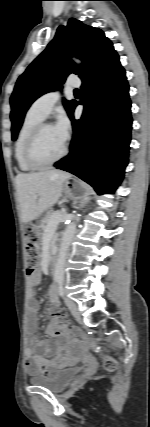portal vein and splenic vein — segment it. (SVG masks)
<instances>
[{"label":"portal vein and splenic vein","mask_w":150,"mask_h":427,"mask_svg":"<svg viewBox=\"0 0 150 427\" xmlns=\"http://www.w3.org/2000/svg\"><path fill=\"white\" fill-rule=\"evenodd\" d=\"M71 217V215L70 214H65L63 217H61L59 214H56V216H55V220H53L52 222H50V224L49 225H53V223H55L56 221H58L59 219H62V218H64V219H67V218H70Z\"/></svg>","instance_id":"1"}]
</instances>
